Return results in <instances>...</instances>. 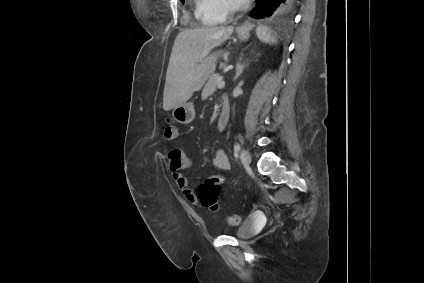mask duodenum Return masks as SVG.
<instances>
[{
  "mask_svg": "<svg viewBox=\"0 0 424 283\" xmlns=\"http://www.w3.org/2000/svg\"><path fill=\"white\" fill-rule=\"evenodd\" d=\"M229 114H230V105L229 101L227 99H223L221 104V110L220 115L218 119V129L224 130L228 124L229 121Z\"/></svg>",
  "mask_w": 424,
  "mask_h": 283,
  "instance_id": "duodenum-1",
  "label": "duodenum"
}]
</instances>
